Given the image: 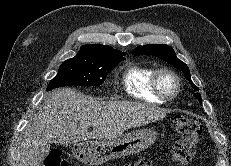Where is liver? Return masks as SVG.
I'll use <instances>...</instances> for the list:
<instances>
[{"instance_id":"liver-1","label":"liver","mask_w":231,"mask_h":166,"mask_svg":"<svg viewBox=\"0 0 231 166\" xmlns=\"http://www.w3.org/2000/svg\"><path fill=\"white\" fill-rule=\"evenodd\" d=\"M165 115V109L151 104L95 101L71 88L54 90L25 128L20 166H41L51 143L115 139L130 128L147 125ZM90 126L92 132H88Z\"/></svg>"}]
</instances>
